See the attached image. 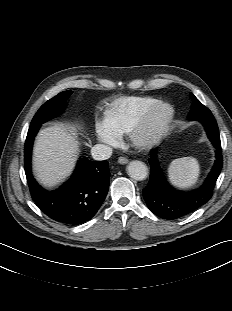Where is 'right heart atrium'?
Wrapping results in <instances>:
<instances>
[{
    "mask_svg": "<svg viewBox=\"0 0 232 311\" xmlns=\"http://www.w3.org/2000/svg\"><path fill=\"white\" fill-rule=\"evenodd\" d=\"M93 132L96 138L102 143L110 146H115L119 143V136L107 126L105 121H96L93 126Z\"/></svg>",
    "mask_w": 232,
    "mask_h": 311,
    "instance_id": "1",
    "label": "right heart atrium"
}]
</instances>
